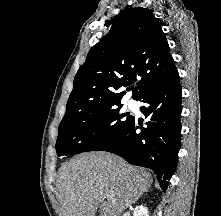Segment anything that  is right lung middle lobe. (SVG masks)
<instances>
[{"label": "right lung middle lobe", "mask_w": 221, "mask_h": 216, "mask_svg": "<svg viewBox=\"0 0 221 216\" xmlns=\"http://www.w3.org/2000/svg\"><path fill=\"white\" fill-rule=\"evenodd\" d=\"M122 105L97 108L75 119H63L56 141L58 156L101 150L111 144L132 121L133 116L122 114ZM127 116L126 119H123Z\"/></svg>", "instance_id": "right-lung-middle-lobe-1"}]
</instances>
